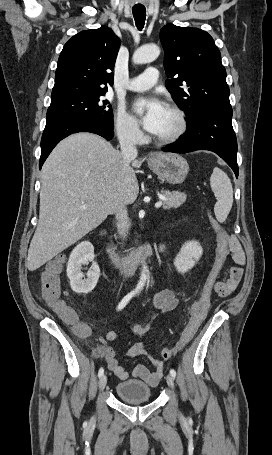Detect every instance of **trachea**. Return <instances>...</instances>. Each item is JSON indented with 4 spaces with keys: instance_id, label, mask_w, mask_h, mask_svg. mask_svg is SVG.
<instances>
[{
    "instance_id": "3493384b",
    "label": "trachea",
    "mask_w": 272,
    "mask_h": 455,
    "mask_svg": "<svg viewBox=\"0 0 272 455\" xmlns=\"http://www.w3.org/2000/svg\"><path fill=\"white\" fill-rule=\"evenodd\" d=\"M134 20L138 30H142L146 20V9L143 6H134L132 8Z\"/></svg>"
}]
</instances>
